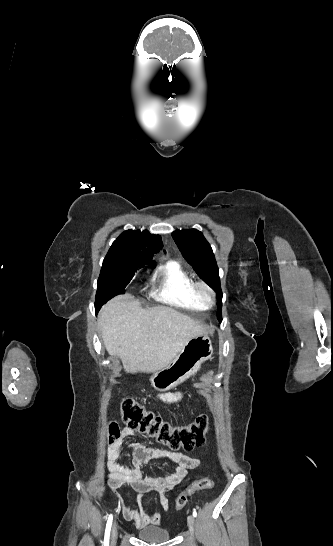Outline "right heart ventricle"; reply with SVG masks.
Listing matches in <instances>:
<instances>
[{"mask_svg": "<svg viewBox=\"0 0 333 546\" xmlns=\"http://www.w3.org/2000/svg\"><path fill=\"white\" fill-rule=\"evenodd\" d=\"M152 296L166 305L189 311H205L207 306L195 296L194 280L177 261L160 266L153 276Z\"/></svg>", "mask_w": 333, "mask_h": 546, "instance_id": "right-heart-ventricle-1", "label": "right heart ventricle"}]
</instances>
